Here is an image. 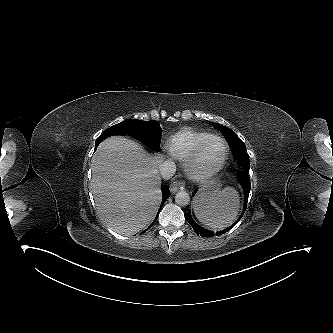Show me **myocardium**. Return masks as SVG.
<instances>
[{"mask_svg": "<svg viewBox=\"0 0 333 333\" xmlns=\"http://www.w3.org/2000/svg\"><path fill=\"white\" fill-rule=\"evenodd\" d=\"M217 139L220 140L223 144H224V154L220 160V162L213 167L212 169L209 170H201L198 168V164L201 158V155L204 151V149L206 148V146L209 144L210 141ZM228 154H229V145L227 143V141L218 135H210L209 137H207L204 141H202L198 147L196 148V150L193 152V154L186 160V171L187 174L189 175V177L193 180L196 181H205L208 180L212 177H214L216 174H218L221 169L224 167L227 158H228Z\"/></svg>", "mask_w": 333, "mask_h": 333, "instance_id": "1", "label": "myocardium"}]
</instances>
